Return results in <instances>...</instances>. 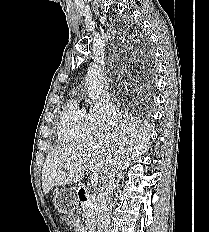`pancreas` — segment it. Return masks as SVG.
Here are the masks:
<instances>
[{
    "mask_svg": "<svg viewBox=\"0 0 209 232\" xmlns=\"http://www.w3.org/2000/svg\"><path fill=\"white\" fill-rule=\"evenodd\" d=\"M81 207L84 212L86 227L91 229L94 225L95 217L97 214V199L90 197L89 201L87 203H83Z\"/></svg>",
    "mask_w": 209,
    "mask_h": 232,
    "instance_id": "cf45deb5",
    "label": "pancreas"
}]
</instances>
